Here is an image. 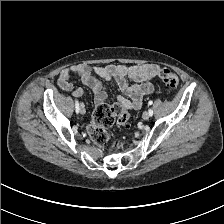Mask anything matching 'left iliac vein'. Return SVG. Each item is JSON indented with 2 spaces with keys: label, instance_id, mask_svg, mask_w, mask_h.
<instances>
[{
  "label": "left iliac vein",
  "instance_id": "4c4485c4",
  "mask_svg": "<svg viewBox=\"0 0 224 224\" xmlns=\"http://www.w3.org/2000/svg\"><path fill=\"white\" fill-rule=\"evenodd\" d=\"M149 117H150V115H149L148 112H144V113H143V119L148 120Z\"/></svg>",
  "mask_w": 224,
  "mask_h": 224
}]
</instances>
